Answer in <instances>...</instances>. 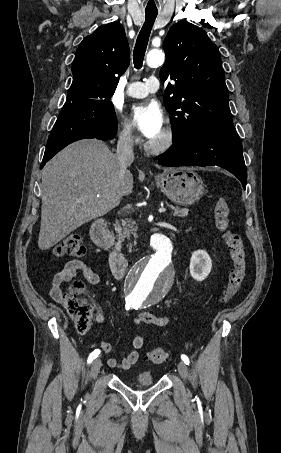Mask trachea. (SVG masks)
<instances>
[{"label":"trachea","mask_w":281,"mask_h":453,"mask_svg":"<svg viewBox=\"0 0 281 453\" xmlns=\"http://www.w3.org/2000/svg\"><path fill=\"white\" fill-rule=\"evenodd\" d=\"M156 17H157V13H152V12L145 13V22L137 37L135 48L133 50L134 66L137 69H140L142 67L144 55L146 52V47L148 45V39H149V36H150V33H151V30H152Z\"/></svg>","instance_id":"1"}]
</instances>
